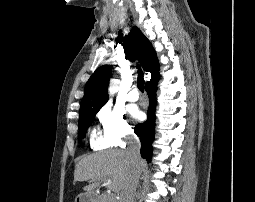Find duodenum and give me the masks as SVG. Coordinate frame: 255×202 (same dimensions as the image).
I'll list each match as a JSON object with an SVG mask.
<instances>
[{"label":"duodenum","instance_id":"410a0bca","mask_svg":"<svg viewBox=\"0 0 255 202\" xmlns=\"http://www.w3.org/2000/svg\"><path fill=\"white\" fill-rule=\"evenodd\" d=\"M85 202H92L91 199L88 197L85 199Z\"/></svg>","mask_w":255,"mask_h":202}]
</instances>
